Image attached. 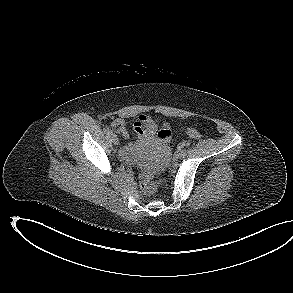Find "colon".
Wrapping results in <instances>:
<instances>
[{"label": "colon", "mask_w": 293, "mask_h": 293, "mask_svg": "<svg viewBox=\"0 0 293 293\" xmlns=\"http://www.w3.org/2000/svg\"><path fill=\"white\" fill-rule=\"evenodd\" d=\"M187 134L189 137H191L193 139L201 138V133L194 128H188ZM158 138L163 143L170 142V140L172 138L171 130H169L167 128L161 129L158 132ZM161 183H162V181H160V180L155 181L149 175H144L142 177L141 182H140V189H141L142 193H144L145 195H153L154 193H156V191H157L159 185H161Z\"/></svg>", "instance_id": "1"}]
</instances>
